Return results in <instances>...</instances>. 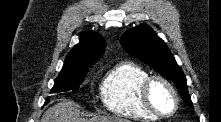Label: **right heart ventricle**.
Returning <instances> with one entry per match:
<instances>
[{
  "label": "right heart ventricle",
  "mask_w": 221,
  "mask_h": 122,
  "mask_svg": "<svg viewBox=\"0 0 221 122\" xmlns=\"http://www.w3.org/2000/svg\"><path fill=\"white\" fill-rule=\"evenodd\" d=\"M149 76L141 66L132 62H121L111 68L101 84L104 106L113 114L140 120H156L140 97V87Z\"/></svg>",
  "instance_id": "obj_1"
}]
</instances>
